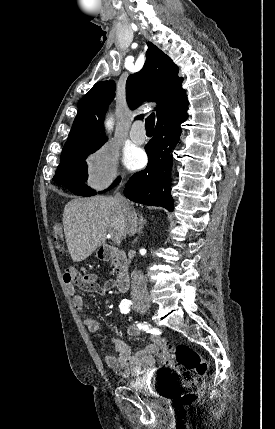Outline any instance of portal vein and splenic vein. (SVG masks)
<instances>
[{"label":"portal vein and splenic vein","instance_id":"1","mask_svg":"<svg viewBox=\"0 0 275 429\" xmlns=\"http://www.w3.org/2000/svg\"><path fill=\"white\" fill-rule=\"evenodd\" d=\"M112 240L114 241V243L116 244H120L121 243V236L119 234H111Z\"/></svg>","mask_w":275,"mask_h":429}]
</instances>
